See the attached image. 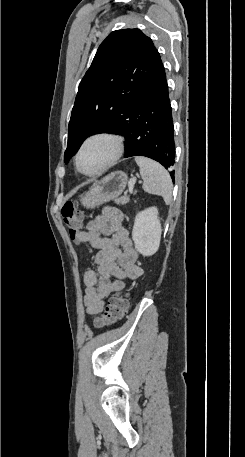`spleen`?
I'll return each mask as SVG.
<instances>
[{
	"label": "spleen",
	"mask_w": 245,
	"mask_h": 457,
	"mask_svg": "<svg viewBox=\"0 0 245 457\" xmlns=\"http://www.w3.org/2000/svg\"><path fill=\"white\" fill-rule=\"evenodd\" d=\"M135 160L140 168L144 190L151 192V194H160L166 204H170L173 184L166 168L152 158H146V156H135Z\"/></svg>",
	"instance_id": "3e777b00"
}]
</instances>
